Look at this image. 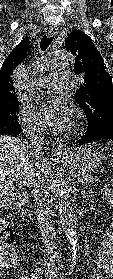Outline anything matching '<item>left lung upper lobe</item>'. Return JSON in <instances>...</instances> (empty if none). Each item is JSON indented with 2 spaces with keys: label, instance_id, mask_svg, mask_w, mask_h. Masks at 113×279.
Instances as JSON below:
<instances>
[{
  "label": "left lung upper lobe",
  "instance_id": "5c2ea615",
  "mask_svg": "<svg viewBox=\"0 0 113 279\" xmlns=\"http://www.w3.org/2000/svg\"><path fill=\"white\" fill-rule=\"evenodd\" d=\"M65 47L76 57L75 73L84 79L75 100L86 114L88 129H97L104 121L113 120L112 78L105 70L101 54L83 31L71 32Z\"/></svg>",
  "mask_w": 113,
  "mask_h": 279
}]
</instances>
